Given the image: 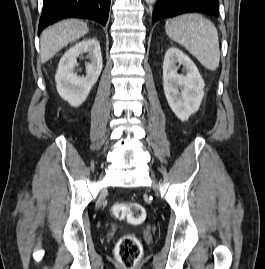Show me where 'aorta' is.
Listing matches in <instances>:
<instances>
[{
  "label": "aorta",
  "instance_id": "aorta-1",
  "mask_svg": "<svg viewBox=\"0 0 265 269\" xmlns=\"http://www.w3.org/2000/svg\"><path fill=\"white\" fill-rule=\"evenodd\" d=\"M148 4L150 3V4H152V3H154L156 0H145Z\"/></svg>",
  "mask_w": 265,
  "mask_h": 269
}]
</instances>
